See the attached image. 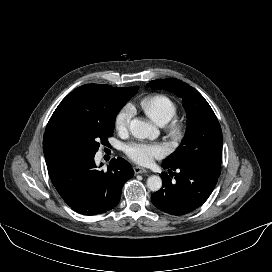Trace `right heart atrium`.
Segmentation results:
<instances>
[{"label":"right heart atrium","instance_id":"obj_1","mask_svg":"<svg viewBox=\"0 0 272 272\" xmlns=\"http://www.w3.org/2000/svg\"><path fill=\"white\" fill-rule=\"evenodd\" d=\"M132 117V111L129 107L121 109L115 118L116 130L123 134L127 132Z\"/></svg>","mask_w":272,"mask_h":272}]
</instances>
